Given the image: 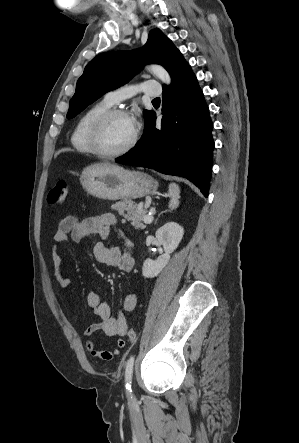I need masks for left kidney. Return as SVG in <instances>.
Wrapping results in <instances>:
<instances>
[{
  "label": "left kidney",
  "instance_id": "5707ae66",
  "mask_svg": "<svg viewBox=\"0 0 299 443\" xmlns=\"http://www.w3.org/2000/svg\"><path fill=\"white\" fill-rule=\"evenodd\" d=\"M184 235V229L175 222H169L156 231V238L163 246L164 253L156 260L146 259L143 263L142 275L145 278L157 276L168 264L170 254L178 247Z\"/></svg>",
  "mask_w": 299,
  "mask_h": 443
}]
</instances>
